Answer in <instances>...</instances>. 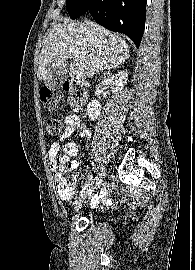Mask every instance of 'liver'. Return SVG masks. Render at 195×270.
I'll use <instances>...</instances> for the list:
<instances>
[{"label":"liver","mask_w":195,"mask_h":270,"mask_svg":"<svg viewBox=\"0 0 195 270\" xmlns=\"http://www.w3.org/2000/svg\"><path fill=\"white\" fill-rule=\"evenodd\" d=\"M71 80L91 78L102 69H112L129 57V47L119 36L100 25L85 20L56 24L48 34L39 57L37 77L45 80L70 54Z\"/></svg>","instance_id":"liver-1"}]
</instances>
